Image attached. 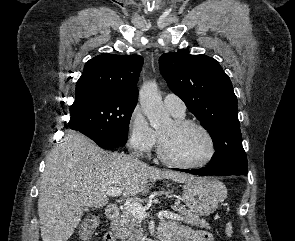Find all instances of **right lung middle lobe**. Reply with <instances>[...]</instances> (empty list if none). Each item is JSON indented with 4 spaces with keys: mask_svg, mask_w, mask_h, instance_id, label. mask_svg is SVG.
I'll use <instances>...</instances> for the list:
<instances>
[{
    "mask_svg": "<svg viewBox=\"0 0 295 241\" xmlns=\"http://www.w3.org/2000/svg\"><path fill=\"white\" fill-rule=\"evenodd\" d=\"M136 103L103 93L90 94L75 100L66 126L88 136L102 148L122 146L127 142Z\"/></svg>",
    "mask_w": 295,
    "mask_h": 241,
    "instance_id": "dd1d6c3e",
    "label": "right lung middle lobe"
}]
</instances>
